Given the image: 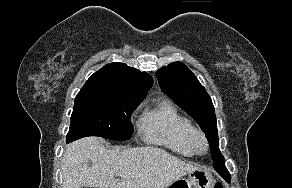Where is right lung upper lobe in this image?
<instances>
[{
    "instance_id": "obj_1",
    "label": "right lung upper lobe",
    "mask_w": 292,
    "mask_h": 188,
    "mask_svg": "<svg viewBox=\"0 0 292 188\" xmlns=\"http://www.w3.org/2000/svg\"><path fill=\"white\" fill-rule=\"evenodd\" d=\"M152 85L153 79L148 73L113 62L95 72L84 86H101L144 98Z\"/></svg>"
}]
</instances>
